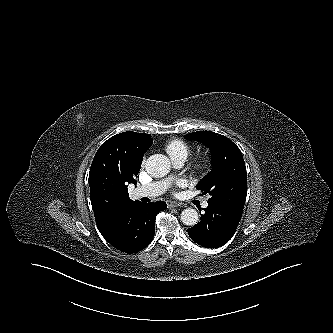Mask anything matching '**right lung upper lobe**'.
Wrapping results in <instances>:
<instances>
[{
    "instance_id": "obj_1",
    "label": "right lung upper lobe",
    "mask_w": 333,
    "mask_h": 333,
    "mask_svg": "<svg viewBox=\"0 0 333 333\" xmlns=\"http://www.w3.org/2000/svg\"><path fill=\"white\" fill-rule=\"evenodd\" d=\"M150 134L123 132L112 136L98 149L89 172L91 205L97 227L105 237L121 212L134 203L128 184H136L143 154L152 145Z\"/></svg>"
}]
</instances>
